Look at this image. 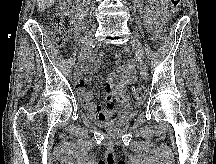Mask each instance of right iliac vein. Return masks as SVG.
<instances>
[{
	"mask_svg": "<svg viewBox=\"0 0 216 164\" xmlns=\"http://www.w3.org/2000/svg\"><path fill=\"white\" fill-rule=\"evenodd\" d=\"M94 40V34L93 32H90L89 35L85 38L82 48H81V52L79 54V59H78V64L76 66V71H80L83 67L84 61L86 59L87 56V52L91 46V44L93 43Z\"/></svg>",
	"mask_w": 216,
	"mask_h": 164,
	"instance_id": "obj_1",
	"label": "right iliac vein"
}]
</instances>
